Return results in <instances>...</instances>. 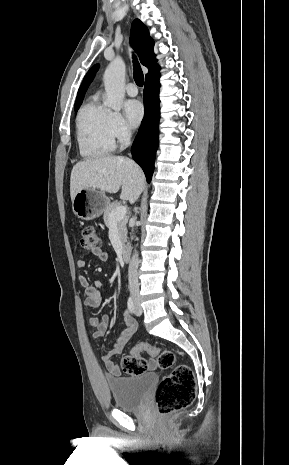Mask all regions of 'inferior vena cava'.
Wrapping results in <instances>:
<instances>
[{"label": "inferior vena cava", "mask_w": 289, "mask_h": 465, "mask_svg": "<svg viewBox=\"0 0 289 465\" xmlns=\"http://www.w3.org/2000/svg\"><path fill=\"white\" fill-rule=\"evenodd\" d=\"M125 138L127 140H130L131 138V132L129 129H127L125 132ZM138 264H139L138 253L135 252L131 258V261L129 263V268H128L129 290L133 298H137L139 296V282H138V275H137Z\"/></svg>", "instance_id": "obj_1"}]
</instances>
